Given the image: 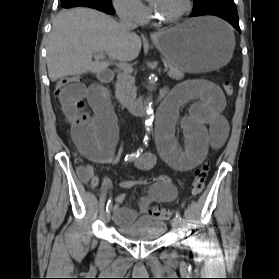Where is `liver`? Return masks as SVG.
<instances>
[{
    "mask_svg": "<svg viewBox=\"0 0 279 279\" xmlns=\"http://www.w3.org/2000/svg\"><path fill=\"white\" fill-rule=\"evenodd\" d=\"M141 47L138 35H124L119 23L105 13L81 7L62 10L49 35L48 75L54 82L69 75L99 73L110 66L109 62L99 60L100 53H106L111 60L126 62L136 59Z\"/></svg>",
    "mask_w": 279,
    "mask_h": 279,
    "instance_id": "1",
    "label": "liver"
}]
</instances>
